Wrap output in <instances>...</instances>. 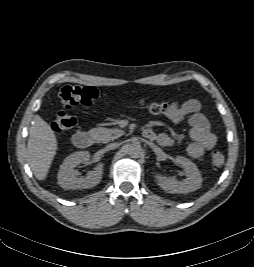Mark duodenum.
I'll return each instance as SVG.
<instances>
[{"instance_id":"duodenum-1","label":"duodenum","mask_w":254,"mask_h":267,"mask_svg":"<svg viewBox=\"0 0 254 267\" xmlns=\"http://www.w3.org/2000/svg\"><path fill=\"white\" fill-rule=\"evenodd\" d=\"M145 138L152 140L153 134L149 130L143 132ZM95 142L94 136L87 131H79L73 135V143L76 147L85 149L92 146Z\"/></svg>"}]
</instances>
